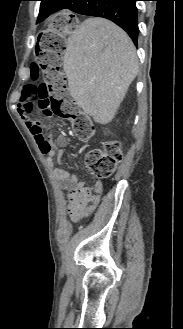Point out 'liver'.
Wrapping results in <instances>:
<instances>
[{
  "mask_svg": "<svg viewBox=\"0 0 183 329\" xmlns=\"http://www.w3.org/2000/svg\"><path fill=\"white\" fill-rule=\"evenodd\" d=\"M63 68L79 107L106 124L115 117L138 73L136 48L111 21L89 18L68 37Z\"/></svg>",
  "mask_w": 183,
  "mask_h": 329,
  "instance_id": "obj_1",
  "label": "liver"
}]
</instances>
